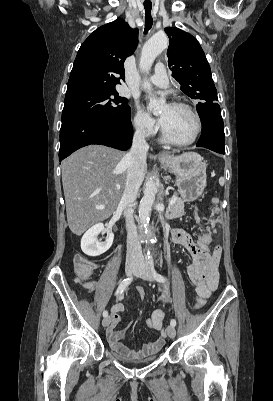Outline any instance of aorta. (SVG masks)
<instances>
[{
    "label": "aorta",
    "mask_w": 273,
    "mask_h": 401,
    "mask_svg": "<svg viewBox=\"0 0 273 401\" xmlns=\"http://www.w3.org/2000/svg\"><path fill=\"white\" fill-rule=\"evenodd\" d=\"M168 44L169 40L163 33L155 34L145 43L140 58V68L143 72L147 73L150 70L156 57L168 47ZM143 87L148 91V93H151V85L147 81L143 83ZM164 105V99L151 97L148 107L154 114H157L161 111ZM156 181L157 179L155 176H152L147 180L144 195L139 204V219L146 232L149 226L151 208L155 201V195L157 192Z\"/></svg>",
    "instance_id": "obj_1"
}]
</instances>
